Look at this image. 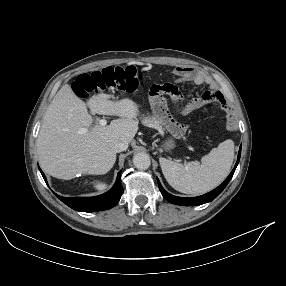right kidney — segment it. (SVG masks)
<instances>
[{"label":"right kidney","instance_id":"ca27d5eb","mask_svg":"<svg viewBox=\"0 0 286 286\" xmlns=\"http://www.w3.org/2000/svg\"><path fill=\"white\" fill-rule=\"evenodd\" d=\"M95 187H96L97 189L101 190V189H104V188H105V184H103V183H98V184L95 185Z\"/></svg>","mask_w":286,"mask_h":286}]
</instances>
